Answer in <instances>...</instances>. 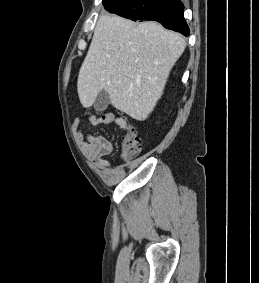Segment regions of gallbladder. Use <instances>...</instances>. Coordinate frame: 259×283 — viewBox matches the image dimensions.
Instances as JSON below:
<instances>
[{"instance_id": "1", "label": "gallbladder", "mask_w": 259, "mask_h": 283, "mask_svg": "<svg viewBox=\"0 0 259 283\" xmlns=\"http://www.w3.org/2000/svg\"><path fill=\"white\" fill-rule=\"evenodd\" d=\"M109 103V95L106 91L103 90L98 94L95 100L94 109L99 112L104 111L108 107Z\"/></svg>"}]
</instances>
